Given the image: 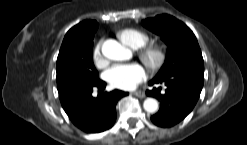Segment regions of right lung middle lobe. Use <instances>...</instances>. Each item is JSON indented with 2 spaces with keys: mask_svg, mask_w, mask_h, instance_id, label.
I'll use <instances>...</instances> for the list:
<instances>
[{
  "mask_svg": "<svg viewBox=\"0 0 247 145\" xmlns=\"http://www.w3.org/2000/svg\"><path fill=\"white\" fill-rule=\"evenodd\" d=\"M93 40L78 36L65 37L57 58V88L63 92L79 84L99 80L92 59Z\"/></svg>",
  "mask_w": 247,
  "mask_h": 145,
  "instance_id": "obj_1",
  "label": "right lung middle lobe"
}]
</instances>
